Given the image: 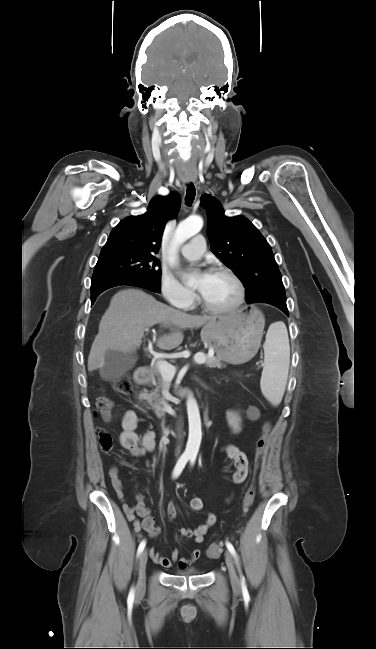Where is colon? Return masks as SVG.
<instances>
[{"label":"colon","instance_id":"5ec220e1","mask_svg":"<svg viewBox=\"0 0 376 649\" xmlns=\"http://www.w3.org/2000/svg\"><path fill=\"white\" fill-rule=\"evenodd\" d=\"M113 389L121 394H128L132 390V383L131 379L129 378L128 375L123 374L113 381ZM96 407L98 411L102 414V416L106 420H110L112 417V402L111 400L106 397V396H99L96 399ZM270 430V425L268 422H264L261 426V433L257 439L256 442V457L257 459H260L265 452L266 448V443H267V436ZM98 437H99V442L100 446L103 450L108 451L112 448L113 446V441L111 435L103 428L98 429ZM255 487L252 486L249 488V490L246 492L243 502H242V513L246 515L251 506L254 503L255 500ZM222 544L221 543H213L207 548V555L211 558H217L221 555L222 553Z\"/></svg>","mask_w":376,"mask_h":649}]
</instances>
